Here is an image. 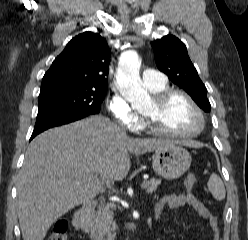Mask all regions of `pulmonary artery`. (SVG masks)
Wrapping results in <instances>:
<instances>
[{
	"label": "pulmonary artery",
	"instance_id": "obj_1",
	"mask_svg": "<svg viewBox=\"0 0 248 240\" xmlns=\"http://www.w3.org/2000/svg\"><path fill=\"white\" fill-rule=\"evenodd\" d=\"M141 76L142 81L147 87L160 86L167 82L162 72L153 69H144Z\"/></svg>",
	"mask_w": 248,
	"mask_h": 240
}]
</instances>
